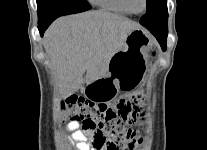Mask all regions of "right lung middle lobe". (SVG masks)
Returning a JSON list of instances; mask_svg holds the SVG:
<instances>
[{"instance_id":"1","label":"right lung middle lobe","mask_w":207,"mask_h":150,"mask_svg":"<svg viewBox=\"0 0 207 150\" xmlns=\"http://www.w3.org/2000/svg\"><path fill=\"white\" fill-rule=\"evenodd\" d=\"M38 21L57 18L62 15L79 13L91 8L85 0H36Z\"/></svg>"}]
</instances>
